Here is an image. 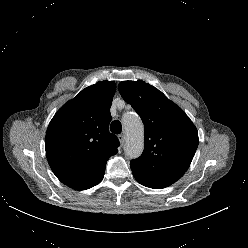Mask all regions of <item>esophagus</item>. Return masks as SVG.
<instances>
[{
	"instance_id": "esophagus-1",
	"label": "esophagus",
	"mask_w": 248,
	"mask_h": 248,
	"mask_svg": "<svg viewBox=\"0 0 248 248\" xmlns=\"http://www.w3.org/2000/svg\"><path fill=\"white\" fill-rule=\"evenodd\" d=\"M118 139L120 141L121 145H124L125 143V136L123 134L118 135Z\"/></svg>"
}]
</instances>
